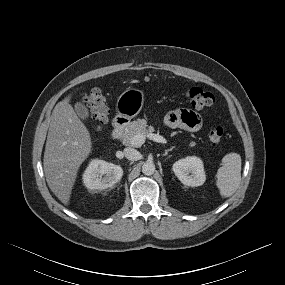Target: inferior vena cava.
<instances>
[{"label": "inferior vena cava", "instance_id": "obj_1", "mask_svg": "<svg viewBox=\"0 0 285 285\" xmlns=\"http://www.w3.org/2000/svg\"><path fill=\"white\" fill-rule=\"evenodd\" d=\"M124 156L128 160L135 161L139 159V152L134 148L127 147L124 149Z\"/></svg>", "mask_w": 285, "mask_h": 285}]
</instances>
